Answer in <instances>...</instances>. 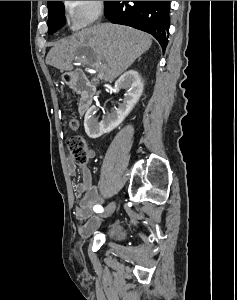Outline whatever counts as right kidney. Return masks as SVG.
Wrapping results in <instances>:
<instances>
[{
  "label": "right kidney",
  "mask_w": 237,
  "mask_h": 300,
  "mask_svg": "<svg viewBox=\"0 0 237 300\" xmlns=\"http://www.w3.org/2000/svg\"><path fill=\"white\" fill-rule=\"evenodd\" d=\"M116 91L119 89H126L124 99L118 109L111 111L110 115H104L102 121L98 123L96 117V107H90L84 117V129L90 139H98L105 133H111L113 129H116L125 117H128L131 113L134 105L138 103L143 93V83L141 77L137 71H127L124 75H121L115 83Z\"/></svg>",
  "instance_id": "obj_1"
}]
</instances>
